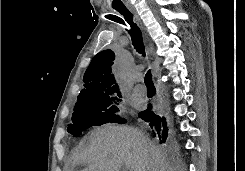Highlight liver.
Listing matches in <instances>:
<instances>
[{
  "mask_svg": "<svg viewBox=\"0 0 245 171\" xmlns=\"http://www.w3.org/2000/svg\"><path fill=\"white\" fill-rule=\"evenodd\" d=\"M83 171H175L164 154L143 133L128 126L106 125L91 132L89 144L73 157Z\"/></svg>",
  "mask_w": 245,
  "mask_h": 171,
  "instance_id": "obj_1",
  "label": "liver"
}]
</instances>
